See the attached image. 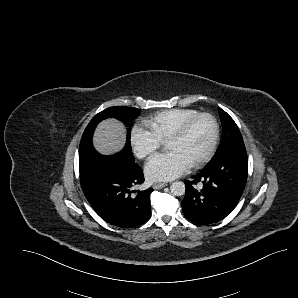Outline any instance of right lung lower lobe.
Returning <instances> with one entry per match:
<instances>
[{"label":"right lung lower lobe","mask_w":298,"mask_h":298,"mask_svg":"<svg viewBox=\"0 0 298 298\" xmlns=\"http://www.w3.org/2000/svg\"><path fill=\"white\" fill-rule=\"evenodd\" d=\"M143 182L139 166L117 155L99 154L91 167L80 171L81 187L92 208L103 220L122 228L139 226L151 216L153 189L132 191Z\"/></svg>","instance_id":"right-lung-lower-lobe-1"}]
</instances>
